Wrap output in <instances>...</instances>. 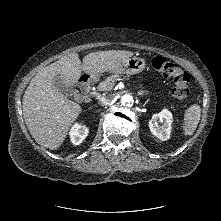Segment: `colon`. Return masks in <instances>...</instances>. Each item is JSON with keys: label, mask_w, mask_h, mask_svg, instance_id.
I'll return each instance as SVG.
<instances>
[{"label": "colon", "mask_w": 221, "mask_h": 221, "mask_svg": "<svg viewBox=\"0 0 221 221\" xmlns=\"http://www.w3.org/2000/svg\"><path fill=\"white\" fill-rule=\"evenodd\" d=\"M151 65L154 70L172 80V93L178 100H183L189 95V83L191 80L189 73L183 71L176 64L161 56L154 57Z\"/></svg>", "instance_id": "5ec220e1"}]
</instances>
